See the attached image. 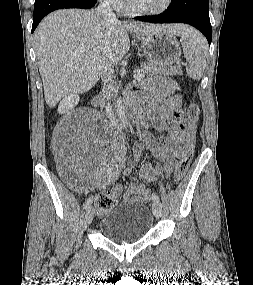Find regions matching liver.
I'll use <instances>...</instances> for the list:
<instances>
[{"mask_svg":"<svg viewBox=\"0 0 253 285\" xmlns=\"http://www.w3.org/2000/svg\"><path fill=\"white\" fill-rule=\"evenodd\" d=\"M188 26L111 22L97 10L62 9L46 16L34 32V46L50 108L70 94H83L99 80L103 67L121 61L130 48L128 32L165 31L180 35Z\"/></svg>","mask_w":253,"mask_h":285,"instance_id":"1","label":"liver"}]
</instances>
